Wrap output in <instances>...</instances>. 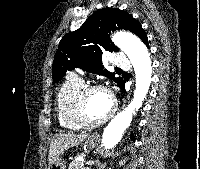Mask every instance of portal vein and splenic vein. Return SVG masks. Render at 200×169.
Masks as SVG:
<instances>
[{
	"instance_id": "18ae733b",
	"label": "portal vein and splenic vein",
	"mask_w": 200,
	"mask_h": 169,
	"mask_svg": "<svg viewBox=\"0 0 200 169\" xmlns=\"http://www.w3.org/2000/svg\"><path fill=\"white\" fill-rule=\"evenodd\" d=\"M86 164L87 165H92V164H94V162L93 161H88Z\"/></svg>"
}]
</instances>
